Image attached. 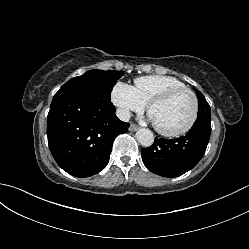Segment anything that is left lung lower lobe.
Wrapping results in <instances>:
<instances>
[{
  "label": "left lung lower lobe",
  "instance_id": "1",
  "mask_svg": "<svg viewBox=\"0 0 249 249\" xmlns=\"http://www.w3.org/2000/svg\"><path fill=\"white\" fill-rule=\"evenodd\" d=\"M211 133V116H200L185 136L158 139L142 149L144 165L163 177H177L197 165L205 153Z\"/></svg>",
  "mask_w": 249,
  "mask_h": 249
}]
</instances>
